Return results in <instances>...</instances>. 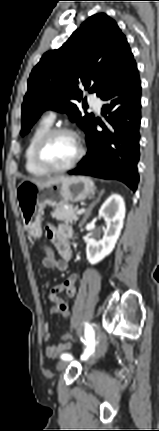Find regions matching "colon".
I'll use <instances>...</instances> for the list:
<instances>
[{"mask_svg":"<svg viewBox=\"0 0 159 431\" xmlns=\"http://www.w3.org/2000/svg\"><path fill=\"white\" fill-rule=\"evenodd\" d=\"M43 253L44 254H46V259L48 260V261H51L53 258H54V252H53V248L51 247V245H50V242L49 241H44L43 242ZM69 316H70V311L69 310H64L63 311V317H64V319H68L69 318ZM68 335H69V338L70 339H75V334H71V332H68ZM73 345H75V346H77V345H79V340H77V339H75V340H73Z\"/></svg>","mask_w":159,"mask_h":431,"instance_id":"1","label":"colon"}]
</instances>
